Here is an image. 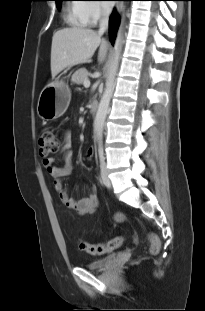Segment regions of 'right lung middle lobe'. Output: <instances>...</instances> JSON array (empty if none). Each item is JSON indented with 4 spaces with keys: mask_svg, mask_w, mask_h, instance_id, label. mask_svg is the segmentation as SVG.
<instances>
[{
    "mask_svg": "<svg viewBox=\"0 0 205 311\" xmlns=\"http://www.w3.org/2000/svg\"><path fill=\"white\" fill-rule=\"evenodd\" d=\"M55 1H56L57 8L59 9V8H60L61 1H63V0H55Z\"/></svg>",
    "mask_w": 205,
    "mask_h": 311,
    "instance_id": "obj_1",
    "label": "right lung middle lobe"
}]
</instances>
